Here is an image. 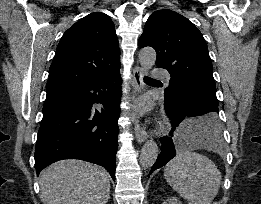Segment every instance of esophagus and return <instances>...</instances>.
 Wrapping results in <instances>:
<instances>
[{
    "mask_svg": "<svg viewBox=\"0 0 261 204\" xmlns=\"http://www.w3.org/2000/svg\"><path fill=\"white\" fill-rule=\"evenodd\" d=\"M144 75H145L144 68L140 67L139 65H136L133 69V78L135 84L134 95L136 97L139 95V93L143 90L145 86L143 82ZM134 131H135L136 139L139 143H142L147 139L148 133L145 130V128L140 125L138 120L135 121Z\"/></svg>",
    "mask_w": 261,
    "mask_h": 204,
    "instance_id": "34e87169",
    "label": "esophagus"
}]
</instances>
